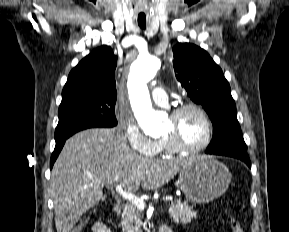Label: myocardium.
Masks as SVG:
<instances>
[{
	"label": "myocardium",
	"mask_w": 289,
	"mask_h": 232,
	"mask_svg": "<svg viewBox=\"0 0 289 232\" xmlns=\"http://www.w3.org/2000/svg\"><path fill=\"white\" fill-rule=\"evenodd\" d=\"M186 111H195L201 116V118L203 119L206 125V130H207L206 136L200 144L195 145V146H186L180 143L174 137L163 136V140L165 141L169 149L174 153H185V154L198 153L204 150L205 148H207L213 139L214 128H213L212 121L209 115L207 114V112L201 106L197 104L189 103V104H184V105L176 107L171 112L170 118L177 119Z\"/></svg>",
	"instance_id": "myocardium-1"
}]
</instances>
